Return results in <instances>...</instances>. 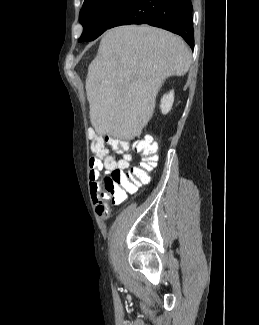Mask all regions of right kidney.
Returning <instances> with one entry per match:
<instances>
[{
  "instance_id": "right-kidney-1",
  "label": "right kidney",
  "mask_w": 259,
  "mask_h": 325,
  "mask_svg": "<svg viewBox=\"0 0 259 325\" xmlns=\"http://www.w3.org/2000/svg\"><path fill=\"white\" fill-rule=\"evenodd\" d=\"M174 102V91H170L168 94H165L161 99V111L163 114H167L173 105Z\"/></svg>"
}]
</instances>
